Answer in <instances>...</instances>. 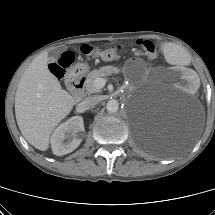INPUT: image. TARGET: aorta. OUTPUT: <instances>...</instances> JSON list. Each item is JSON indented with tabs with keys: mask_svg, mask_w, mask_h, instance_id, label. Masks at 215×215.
Returning a JSON list of instances; mask_svg holds the SVG:
<instances>
[{
	"mask_svg": "<svg viewBox=\"0 0 215 215\" xmlns=\"http://www.w3.org/2000/svg\"><path fill=\"white\" fill-rule=\"evenodd\" d=\"M106 109L109 113H115L119 109V103L117 100H110L106 104Z\"/></svg>",
	"mask_w": 215,
	"mask_h": 215,
	"instance_id": "762f6f07",
	"label": "aorta"
}]
</instances>
